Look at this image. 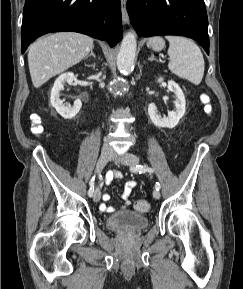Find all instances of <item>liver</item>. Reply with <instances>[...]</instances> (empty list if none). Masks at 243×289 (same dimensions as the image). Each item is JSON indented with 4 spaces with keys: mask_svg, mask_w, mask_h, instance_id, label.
I'll return each instance as SVG.
<instances>
[{
    "mask_svg": "<svg viewBox=\"0 0 243 289\" xmlns=\"http://www.w3.org/2000/svg\"><path fill=\"white\" fill-rule=\"evenodd\" d=\"M93 46V38L75 32L53 33L34 42L28 52L34 87H41L50 78L79 63Z\"/></svg>",
    "mask_w": 243,
    "mask_h": 289,
    "instance_id": "6515ba94",
    "label": "liver"
}]
</instances>
